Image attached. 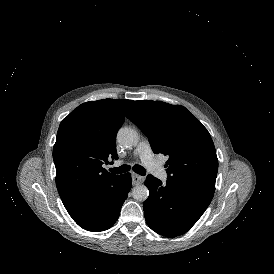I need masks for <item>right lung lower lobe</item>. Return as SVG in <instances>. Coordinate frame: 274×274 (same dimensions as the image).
<instances>
[{
    "label": "right lung lower lobe",
    "mask_w": 274,
    "mask_h": 274,
    "mask_svg": "<svg viewBox=\"0 0 274 274\" xmlns=\"http://www.w3.org/2000/svg\"><path fill=\"white\" fill-rule=\"evenodd\" d=\"M131 186V174L120 175L102 186L89 201L68 210V213L85 230L98 232L109 229L117 221Z\"/></svg>",
    "instance_id": "obj_1"
}]
</instances>
